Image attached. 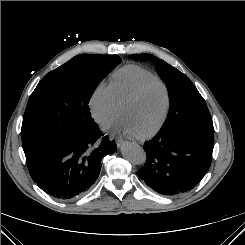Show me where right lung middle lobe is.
I'll return each instance as SVG.
<instances>
[{"instance_id":"right-lung-middle-lobe-1","label":"right lung middle lobe","mask_w":245,"mask_h":245,"mask_svg":"<svg viewBox=\"0 0 245 245\" xmlns=\"http://www.w3.org/2000/svg\"><path fill=\"white\" fill-rule=\"evenodd\" d=\"M120 62L118 55L81 54L49 72L31 94L24 113V152L90 130L96 123L89 100L98 83Z\"/></svg>"}]
</instances>
